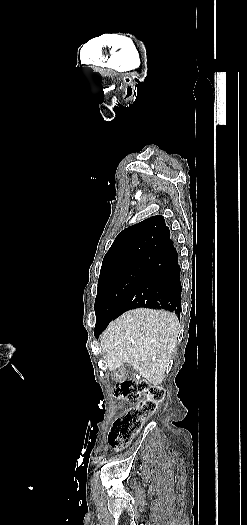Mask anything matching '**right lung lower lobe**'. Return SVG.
I'll return each mask as SVG.
<instances>
[{
	"label": "right lung lower lobe",
	"mask_w": 247,
	"mask_h": 525,
	"mask_svg": "<svg viewBox=\"0 0 247 525\" xmlns=\"http://www.w3.org/2000/svg\"><path fill=\"white\" fill-rule=\"evenodd\" d=\"M181 291L178 253L171 243L154 255L151 264L121 302L117 314L119 316L128 310L143 307L169 310L180 316ZM106 327L95 326V336Z\"/></svg>",
	"instance_id": "obj_1"
}]
</instances>
